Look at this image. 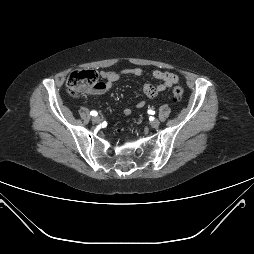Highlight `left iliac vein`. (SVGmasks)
Masks as SVG:
<instances>
[{"label":"left iliac vein","instance_id":"4c4485c4","mask_svg":"<svg viewBox=\"0 0 254 254\" xmlns=\"http://www.w3.org/2000/svg\"><path fill=\"white\" fill-rule=\"evenodd\" d=\"M150 124L153 128H157L160 125V121L158 119H154Z\"/></svg>","mask_w":254,"mask_h":254}]
</instances>
